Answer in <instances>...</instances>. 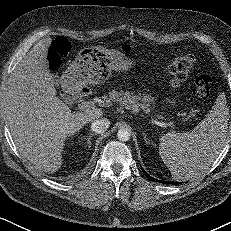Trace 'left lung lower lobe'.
<instances>
[{
    "label": "left lung lower lobe",
    "mask_w": 231,
    "mask_h": 231,
    "mask_svg": "<svg viewBox=\"0 0 231 231\" xmlns=\"http://www.w3.org/2000/svg\"><path fill=\"white\" fill-rule=\"evenodd\" d=\"M144 172V170H143ZM146 176L151 179V180H154V178L150 177L148 174H146ZM159 182H162V183H165V184H172V185H177V184H180L178 182H169V181H159Z\"/></svg>",
    "instance_id": "0a47b994"
}]
</instances>
